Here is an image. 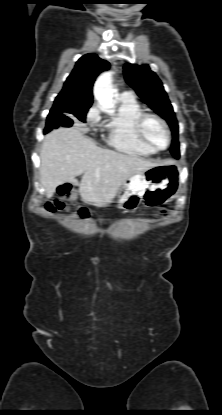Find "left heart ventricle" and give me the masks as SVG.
Segmentation results:
<instances>
[{
	"mask_svg": "<svg viewBox=\"0 0 222 415\" xmlns=\"http://www.w3.org/2000/svg\"><path fill=\"white\" fill-rule=\"evenodd\" d=\"M147 137L158 146H165L167 143V136L163 126L156 120L150 119L146 124Z\"/></svg>",
	"mask_w": 222,
	"mask_h": 415,
	"instance_id": "b2bd125f",
	"label": "left heart ventricle"
}]
</instances>
